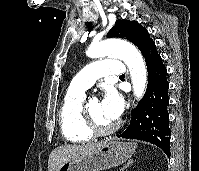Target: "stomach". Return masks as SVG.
I'll return each mask as SVG.
<instances>
[{
  "mask_svg": "<svg viewBox=\"0 0 199 171\" xmlns=\"http://www.w3.org/2000/svg\"><path fill=\"white\" fill-rule=\"evenodd\" d=\"M136 149L133 142L110 139L96 152L62 164L58 171H102L119 166L128 160Z\"/></svg>",
  "mask_w": 199,
  "mask_h": 171,
  "instance_id": "0dacf381",
  "label": "stomach"
}]
</instances>
